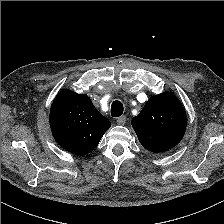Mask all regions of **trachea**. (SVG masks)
Masks as SVG:
<instances>
[{"label": "trachea", "instance_id": "3493384b", "mask_svg": "<svg viewBox=\"0 0 224 224\" xmlns=\"http://www.w3.org/2000/svg\"><path fill=\"white\" fill-rule=\"evenodd\" d=\"M123 110H124V107H123V104L116 100L112 103L111 105V115L113 117H119L123 114Z\"/></svg>", "mask_w": 224, "mask_h": 224}]
</instances>
